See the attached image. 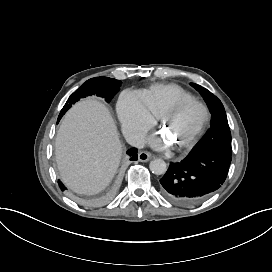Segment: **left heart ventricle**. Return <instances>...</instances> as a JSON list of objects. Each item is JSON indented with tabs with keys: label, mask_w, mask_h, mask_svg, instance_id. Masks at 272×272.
<instances>
[{
	"label": "left heart ventricle",
	"mask_w": 272,
	"mask_h": 272,
	"mask_svg": "<svg viewBox=\"0 0 272 272\" xmlns=\"http://www.w3.org/2000/svg\"><path fill=\"white\" fill-rule=\"evenodd\" d=\"M200 117V110L196 107H191L179 113L167 114L165 123L170 128L172 134L180 140V143H183L199 123Z\"/></svg>",
	"instance_id": "b2bd125f"
}]
</instances>
